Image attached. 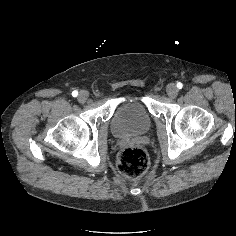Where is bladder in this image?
<instances>
[{
    "label": "bladder",
    "mask_w": 236,
    "mask_h": 236,
    "mask_svg": "<svg viewBox=\"0 0 236 236\" xmlns=\"http://www.w3.org/2000/svg\"><path fill=\"white\" fill-rule=\"evenodd\" d=\"M152 126V116L141 93L131 91L118 101L110 128L115 137L143 135Z\"/></svg>",
    "instance_id": "bladder-1"
}]
</instances>
